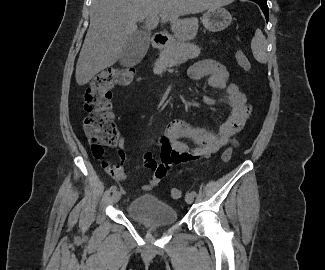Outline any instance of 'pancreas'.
<instances>
[{
  "label": "pancreas",
  "mask_w": 325,
  "mask_h": 270,
  "mask_svg": "<svg viewBox=\"0 0 325 270\" xmlns=\"http://www.w3.org/2000/svg\"><path fill=\"white\" fill-rule=\"evenodd\" d=\"M200 48L193 43L170 45L162 50L159 59L155 62L154 73L161 75L168 67H173L194 59L200 54Z\"/></svg>",
  "instance_id": "cf45deb5"
}]
</instances>
